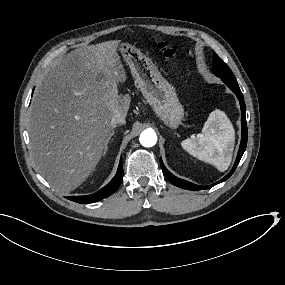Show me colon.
<instances>
[{"instance_id": "colon-1", "label": "colon", "mask_w": 285, "mask_h": 285, "mask_svg": "<svg viewBox=\"0 0 285 285\" xmlns=\"http://www.w3.org/2000/svg\"><path fill=\"white\" fill-rule=\"evenodd\" d=\"M157 49L166 59H172L176 56V51L174 48L166 42L157 44Z\"/></svg>"}]
</instances>
